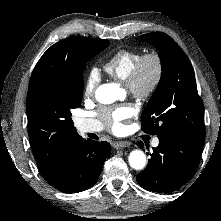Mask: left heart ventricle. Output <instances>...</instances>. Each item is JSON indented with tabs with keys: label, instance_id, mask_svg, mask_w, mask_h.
Here are the masks:
<instances>
[{
	"label": "left heart ventricle",
	"instance_id": "obj_1",
	"mask_svg": "<svg viewBox=\"0 0 221 221\" xmlns=\"http://www.w3.org/2000/svg\"><path fill=\"white\" fill-rule=\"evenodd\" d=\"M151 74H152L151 69L148 68L146 71V79H149L151 77Z\"/></svg>",
	"mask_w": 221,
	"mask_h": 221
}]
</instances>
